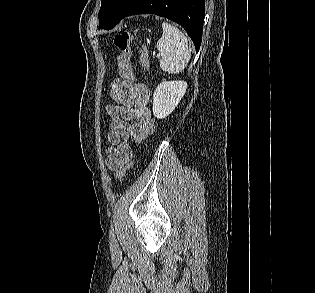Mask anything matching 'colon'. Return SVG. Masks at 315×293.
<instances>
[{"label": "colon", "mask_w": 315, "mask_h": 293, "mask_svg": "<svg viewBox=\"0 0 315 293\" xmlns=\"http://www.w3.org/2000/svg\"><path fill=\"white\" fill-rule=\"evenodd\" d=\"M132 39V33L130 30H124L114 37V44L119 50V57H118V68H119V78H115L113 82H111L109 92H118L119 86L123 84V79L126 80L128 85L133 83V68L130 63L131 58V48L130 43ZM138 57L139 60L142 61V64L145 68L148 67V55L146 49V42L141 40L139 42V49H138ZM132 161L125 163L122 167H120L116 172V179L121 180L129 166L131 165Z\"/></svg>", "instance_id": "5ec220e1"}]
</instances>
